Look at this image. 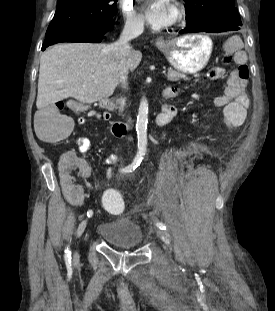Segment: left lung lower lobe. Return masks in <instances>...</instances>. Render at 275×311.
Wrapping results in <instances>:
<instances>
[{
    "label": "left lung lower lobe",
    "instance_id": "0a47b994",
    "mask_svg": "<svg viewBox=\"0 0 275 311\" xmlns=\"http://www.w3.org/2000/svg\"><path fill=\"white\" fill-rule=\"evenodd\" d=\"M239 29L240 26L229 24L225 20L220 18H215L187 24V27L181 30L179 33H193V32L219 33L225 31H236Z\"/></svg>",
    "mask_w": 275,
    "mask_h": 311
}]
</instances>
